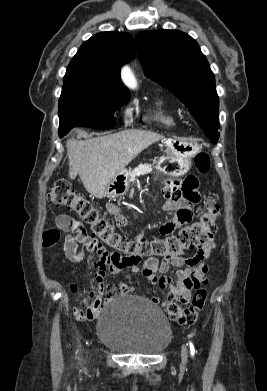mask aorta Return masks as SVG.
Wrapping results in <instances>:
<instances>
[{
  "mask_svg": "<svg viewBox=\"0 0 267 391\" xmlns=\"http://www.w3.org/2000/svg\"><path fill=\"white\" fill-rule=\"evenodd\" d=\"M122 77H123V80L124 82L131 88H136L137 87V83H136V80L130 70V68L128 66L124 67L123 70H122Z\"/></svg>",
  "mask_w": 267,
  "mask_h": 391,
  "instance_id": "obj_1",
  "label": "aorta"
}]
</instances>
